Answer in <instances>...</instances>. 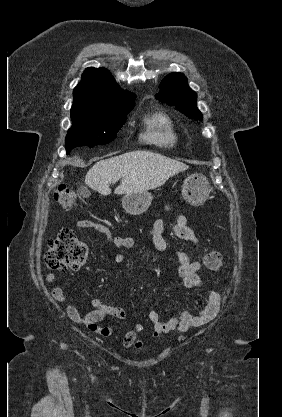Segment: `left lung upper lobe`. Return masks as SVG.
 <instances>
[{
    "label": "left lung upper lobe",
    "mask_w": 282,
    "mask_h": 417,
    "mask_svg": "<svg viewBox=\"0 0 282 417\" xmlns=\"http://www.w3.org/2000/svg\"><path fill=\"white\" fill-rule=\"evenodd\" d=\"M156 98L174 105L187 117L201 119L202 114L196 107L197 95L191 90L187 78L181 73H171L160 84V93Z\"/></svg>",
    "instance_id": "1"
}]
</instances>
